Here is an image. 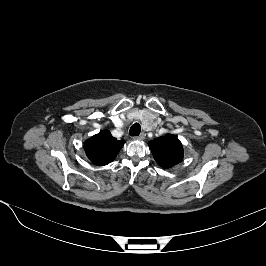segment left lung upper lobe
I'll list each match as a JSON object with an SVG mask.
<instances>
[{
	"instance_id": "obj_1",
	"label": "left lung upper lobe",
	"mask_w": 266,
	"mask_h": 266,
	"mask_svg": "<svg viewBox=\"0 0 266 266\" xmlns=\"http://www.w3.org/2000/svg\"><path fill=\"white\" fill-rule=\"evenodd\" d=\"M149 147L157 163L164 169L171 168L183 159V147L176 136L166 135L149 142Z\"/></svg>"
}]
</instances>
